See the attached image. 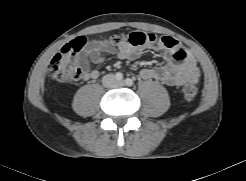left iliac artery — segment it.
I'll use <instances>...</instances> for the list:
<instances>
[{"label": "left iliac artery", "instance_id": "left-iliac-artery-1", "mask_svg": "<svg viewBox=\"0 0 246 181\" xmlns=\"http://www.w3.org/2000/svg\"><path fill=\"white\" fill-rule=\"evenodd\" d=\"M133 84H134V82H133L132 79L127 78V79L125 80V85H127V86H132Z\"/></svg>", "mask_w": 246, "mask_h": 181}]
</instances>
